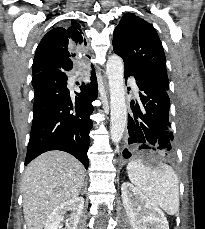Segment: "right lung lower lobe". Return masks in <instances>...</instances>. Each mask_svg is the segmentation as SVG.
Returning <instances> with one entry per match:
<instances>
[{"instance_id":"obj_1","label":"right lung lower lobe","mask_w":205,"mask_h":229,"mask_svg":"<svg viewBox=\"0 0 205 229\" xmlns=\"http://www.w3.org/2000/svg\"><path fill=\"white\" fill-rule=\"evenodd\" d=\"M68 72L50 68L32 77L34 116L25 165L49 150H62L75 156L88 168L87 151L92 129L91 104L97 98V80L92 72L91 83L71 98L66 87Z\"/></svg>"}]
</instances>
